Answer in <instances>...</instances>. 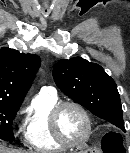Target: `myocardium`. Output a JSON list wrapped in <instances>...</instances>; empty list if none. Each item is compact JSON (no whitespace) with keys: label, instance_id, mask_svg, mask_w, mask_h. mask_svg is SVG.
Wrapping results in <instances>:
<instances>
[{"label":"myocardium","instance_id":"obj_1","mask_svg":"<svg viewBox=\"0 0 130 153\" xmlns=\"http://www.w3.org/2000/svg\"><path fill=\"white\" fill-rule=\"evenodd\" d=\"M67 106H72L78 109L83 115L85 122H86V132L83 138L77 142L66 139L64 135L62 134L60 127H59V115L61 111ZM49 127H50L53 137L61 145L68 147V148H78V147L85 145L88 142L92 134V119L87 109L79 102H76L73 100L61 101V102H58L50 111Z\"/></svg>","mask_w":130,"mask_h":153}]
</instances>
